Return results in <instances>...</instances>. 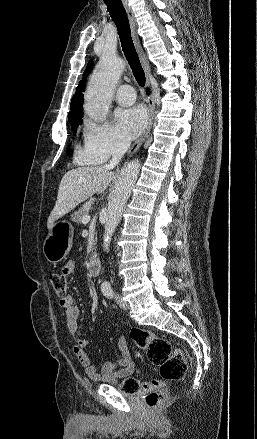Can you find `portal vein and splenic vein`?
I'll return each instance as SVG.
<instances>
[{
	"label": "portal vein and splenic vein",
	"instance_id": "obj_1",
	"mask_svg": "<svg viewBox=\"0 0 257 439\" xmlns=\"http://www.w3.org/2000/svg\"><path fill=\"white\" fill-rule=\"evenodd\" d=\"M89 221H90V216H84V217L82 218V223H83V224H87Z\"/></svg>",
	"mask_w": 257,
	"mask_h": 439
}]
</instances>
